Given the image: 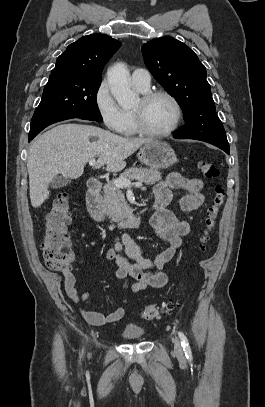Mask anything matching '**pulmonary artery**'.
Returning a JSON list of instances; mask_svg holds the SVG:
<instances>
[{
    "label": "pulmonary artery",
    "instance_id": "pulmonary-artery-1",
    "mask_svg": "<svg viewBox=\"0 0 265 407\" xmlns=\"http://www.w3.org/2000/svg\"><path fill=\"white\" fill-rule=\"evenodd\" d=\"M132 84L141 90H148L151 84V75L148 70L135 69L131 75Z\"/></svg>",
    "mask_w": 265,
    "mask_h": 407
}]
</instances>
